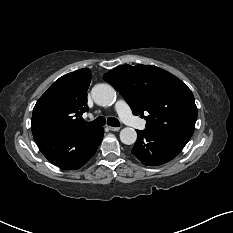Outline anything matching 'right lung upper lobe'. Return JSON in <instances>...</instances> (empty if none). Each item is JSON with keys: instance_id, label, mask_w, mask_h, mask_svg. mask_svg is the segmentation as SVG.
<instances>
[{"instance_id": "right-lung-upper-lobe-1", "label": "right lung upper lobe", "mask_w": 233, "mask_h": 233, "mask_svg": "<svg viewBox=\"0 0 233 233\" xmlns=\"http://www.w3.org/2000/svg\"><path fill=\"white\" fill-rule=\"evenodd\" d=\"M91 73L87 68L63 75L37 101L32 114L33 136L74 135L94 127L81 121L88 110L87 89Z\"/></svg>"}]
</instances>
